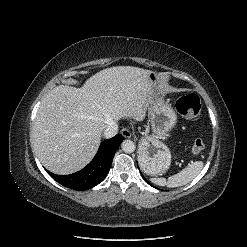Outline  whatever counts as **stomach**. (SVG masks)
<instances>
[{"mask_svg":"<svg viewBox=\"0 0 247 247\" xmlns=\"http://www.w3.org/2000/svg\"><path fill=\"white\" fill-rule=\"evenodd\" d=\"M149 78L154 86L160 82V75L156 72H150ZM150 120L153 135L140 140L138 162L144 173L158 176L165 173L171 165V152L160 139L170 136L176 125L177 115L169 103L156 95L150 106Z\"/></svg>","mask_w":247,"mask_h":247,"instance_id":"0dacf381","label":"stomach"}]
</instances>
